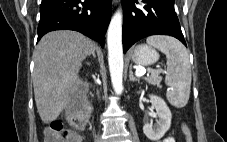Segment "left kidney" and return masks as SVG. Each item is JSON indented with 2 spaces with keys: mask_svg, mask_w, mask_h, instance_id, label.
I'll return each instance as SVG.
<instances>
[{
  "mask_svg": "<svg viewBox=\"0 0 227 142\" xmlns=\"http://www.w3.org/2000/svg\"><path fill=\"white\" fill-rule=\"evenodd\" d=\"M149 97L150 102L156 109L159 119L154 125L152 123H146L143 126V132L148 139L158 141L169 130L172 114L166 102L161 97L152 94L149 95Z\"/></svg>",
  "mask_w": 227,
  "mask_h": 142,
  "instance_id": "1",
  "label": "left kidney"
}]
</instances>
